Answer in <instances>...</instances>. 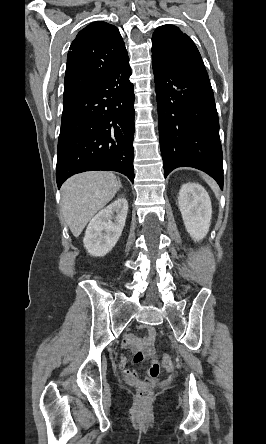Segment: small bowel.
<instances>
[{"instance_id":"c3829d8e","label":"small bowel","mask_w":266,"mask_h":444,"mask_svg":"<svg viewBox=\"0 0 266 444\" xmlns=\"http://www.w3.org/2000/svg\"><path fill=\"white\" fill-rule=\"evenodd\" d=\"M148 336L145 338H139L136 336H127L123 340V346L128 348L134 352V362L138 363L144 359L149 360V368L147 370V377L144 381H142L137 372L130 370L128 368V360L126 358H122L119 362V368L122 373L125 375L126 379L135 384H147L153 385L155 384L157 378L160 375V364L157 360L153 358L154 350L153 344L155 339V330L153 328H149Z\"/></svg>"}]
</instances>
